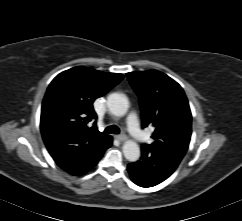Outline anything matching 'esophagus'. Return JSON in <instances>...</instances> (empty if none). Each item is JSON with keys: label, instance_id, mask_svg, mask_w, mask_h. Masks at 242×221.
I'll list each match as a JSON object with an SVG mask.
<instances>
[{"label": "esophagus", "instance_id": "34e87169", "mask_svg": "<svg viewBox=\"0 0 242 221\" xmlns=\"http://www.w3.org/2000/svg\"><path fill=\"white\" fill-rule=\"evenodd\" d=\"M116 139H118L119 141L123 142L127 139L126 135L121 134V135H117Z\"/></svg>", "mask_w": 242, "mask_h": 221}]
</instances>
